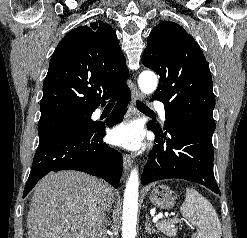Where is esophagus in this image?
<instances>
[{
	"label": "esophagus",
	"mask_w": 247,
	"mask_h": 238,
	"mask_svg": "<svg viewBox=\"0 0 247 238\" xmlns=\"http://www.w3.org/2000/svg\"><path fill=\"white\" fill-rule=\"evenodd\" d=\"M142 98H143L142 93L135 87L132 90L131 101H130V105H131L130 110L132 112L135 111L136 100H141ZM123 167H124V173L127 175L132 167V160L128 155L123 156Z\"/></svg>",
	"instance_id": "esophagus-1"
}]
</instances>
